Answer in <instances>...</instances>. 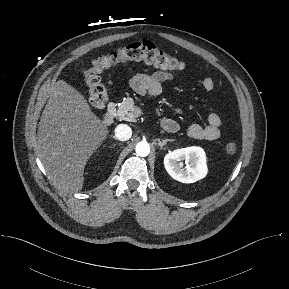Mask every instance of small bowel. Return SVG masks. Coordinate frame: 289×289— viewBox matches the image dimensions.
Returning a JSON list of instances; mask_svg holds the SVG:
<instances>
[{
    "label": "small bowel",
    "mask_w": 289,
    "mask_h": 289,
    "mask_svg": "<svg viewBox=\"0 0 289 289\" xmlns=\"http://www.w3.org/2000/svg\"><path fill=\"white\" fill-rule=\"evenodd\" d=\"M174 75L168 71H155L151 74H138L131 82L133 90L139 95H149L151 97L158 96L162 90L163 85L167 82L173 81ZM215 86L214 80L206 76L202 80V87L206 91H211ZM162 127L167 132L173 133L178 130V124L171 118L162 119ZM222 120L216 113H210L205 125L192 124L188 128V135L194 139L216 140L220 136V126Z\"/></svg>",
    "instance_id": "small-bowel-1"
}]
</instances>
